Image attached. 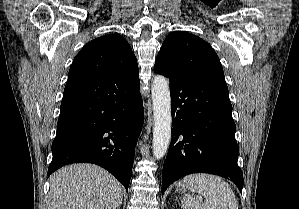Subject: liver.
<instances>
[{
  "label": "liver",
  "instance_id": "liver-1",
  "mask_svg": "<svg viewBox=\"0 0 299 209\" xmlns=\"http://www.w3.org/2000/svg\"><path fill=\"white\" fill-rule=\"evenodd\" d=\"M123 194L122 185L106 170L73 164L50 177L48 209H118Z\"/></svg>",
  "mask_w": 299,
  "mask_h": 209
}]
</instances>
